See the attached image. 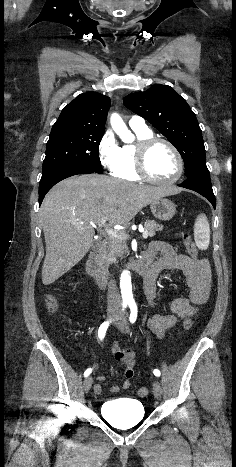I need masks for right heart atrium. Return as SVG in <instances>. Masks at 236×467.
Wrapping results in <instances>:
<instances>
[{"instance_id": "right-heart-atrium-1", "label": "right heart atrium", "mask_w": 236, "mask_h": 467, "mask_svg": "<svg viewBox=\"0 0 236 467\" xmlns=\"http://www.w3.org/2000/svg\"><path fill=\"white\" fill-rule=\"evenodd\" d=\"M120 149L112 132L106 131L99 140L97 154L103 168L113 171L120 160Z\"/></svg>"}]
</instances>
